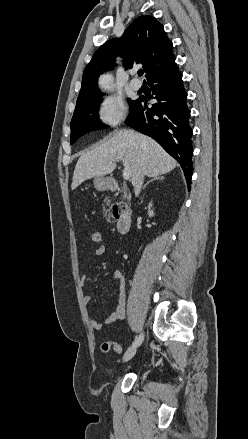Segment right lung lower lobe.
<instances>
[{"mask_svg":"<svg viewBox=\"0 0 248 439\" xmlns=\"http://www.w3.org/2000/svg\"><path fill=\"white\" fill-rule=\"evenodd\" d=\"M157 102L148 106L147 98L140 96L126 119V124L155 139L181 165L188 189L192 177L190 111L182 75L177 65L157 72L148 78Z\"/></svg>","mask_w":248,"mask_h":439,"instance_id":"obj_1","label":"right lung lower lobe"}]
</instances>
